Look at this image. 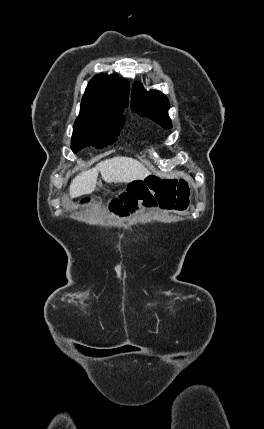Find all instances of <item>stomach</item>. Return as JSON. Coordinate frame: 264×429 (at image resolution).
Returning <instances> with one entry per match:
<instances>
[{
    "mask_svg": "<svg viewBox=\"0 0 264 429\" xmlns=\"http://www.w3.org/2000/svg\"><path fill=\"white\" fill-rule=\"evenodd\" d=\"M151 177H154L153 175H147L145 178L146 179H149V178H151Z\"/></svg>",
    "mask_w": 264,
    "mask_h": 429,
    "instance_id": "0dacf381",
    "label": "stomach"
}]
</instances>
